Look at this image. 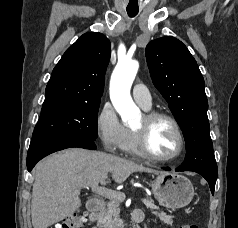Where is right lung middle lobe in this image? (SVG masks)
<instances>
[{"label": "right lung middle lobe", "instance_id": "obj_1", "mask_svg": "<svg viewBox=\"0 0 238 228\" xmlns=\"http://www.w3.org/2000/svg\"><path fill=\"white\" fill-rule=\"evenodd\" d=\"M99 106L100 103L73 105L41 114L33 138L77 136L95 140Z\"/></svg>", "mask_w": 238, "mask_h": 228}]
</instances>
